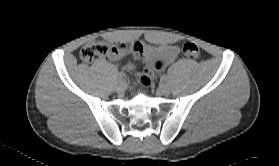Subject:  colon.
Here are the masks:
<instances>
[{"label": "colon", "mask_w": 279, "mask_h": 166, "mask_svg": "<svg viewBox=\"0 0 279 166\" xmlns=\"http://www.w3.org/2000/svg\"><path fill=\"white\" fill-rule=\"evenodd\" d=\"M182 53L190 58V59H197L200 57V48L191 42H186L181 46ZM141 51V45L139 43L135 44H120L114 45L106 41H94L87 45H85L80 51V58L82 61L87 63L95 62L102 57L110 54L115 53L118 55L127 53V52H134L138 53ZM140 83L144 87H149L152 84V78L148 73H143L140 76Z\"/></svg>", "instance_id": "5ec220e1"}]
</instances>
